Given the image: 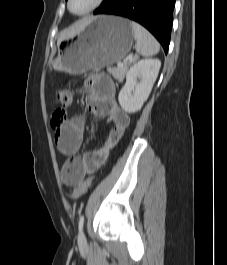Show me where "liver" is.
I'll use <instances>...</instances> for the list:
<instances>
[{
  "label": "liver",
  "mask_w": 227,
  "mask_h": 265,
  "mask_svg": "<svg viewBox=\"0 0 227 265\" xmlns=\"http://www.w3.org/2000/svg\"><path fill=\"white\" fill-rule=\"evenodd\" d=\"M84 26V23H78L72 27H69L68 29L63 30L58 37L57 44L59 45L63 40L73 38L76 34L80 33L84 29Z\"/></svg>",
  "instance_id": "obj_1"
}]
</instances>
